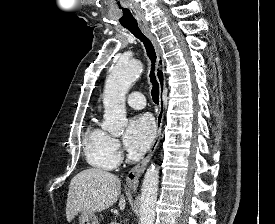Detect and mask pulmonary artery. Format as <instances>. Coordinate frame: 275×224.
Instances as JSON below:
<instances>
[{
  "label": "pulmonary artery",
  "mask_w": 275,
  "mask_h": 224,
  "mask_svg": "<svg viewBox=\"0 0 275 224\" xmlns=\"http://www.w3.org/2000/svg\"><path fill=\"white\" fill-rule=\"evenodd\" d=\"M127 103L134 109H143L146 106L145 97L140 92H133L127 97Z\"/></svg>",
  "instance_id": "pulmonary-artery-1"
}]
</instances>
